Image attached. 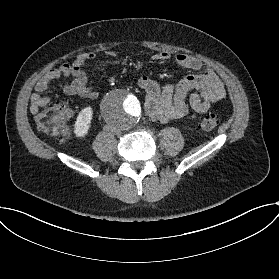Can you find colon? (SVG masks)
Segmentation results:
<instances>
[{
  "label": "colon",
  "instance_id": "obj_1",
  "mask_svg": "<svg viewBox=\"0 0 279 279\" xmlns=\"http://www.w3.org/2000/svg\"><path fill=\"white\" fill-rule=\"evenodd\" d=\"M73 116V109L67 103H58L48 106L35 115L37 128L44 134L51 136L67 137L70 130L66 122ZM219 123L217 113L206 114L201 121L200 128L203 131L213 130Z\"/></svg>",
  "mask_w": 279,
  "mask_h": 279
}]
</instances>
